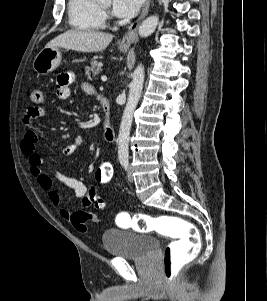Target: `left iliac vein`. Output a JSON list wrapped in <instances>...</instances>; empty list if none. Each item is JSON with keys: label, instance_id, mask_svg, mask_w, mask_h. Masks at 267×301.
<instances>
[{"label": "left iliac vein", "instance_id": "left-iliac-vein-1", "mask_svg": "<svg viewBox=\"0 0 267 301\" xmlns=\"http://www.w3.org/2000/svg\"><path fill=\"white\" fill-rule=\"evenodd\" d=\"M127 178H128V180L130 182H133L134 178H133L131 170H128V172H127Z\"/></svg>", "mask_w": 267, "mask_h": 301}]
</instances>
